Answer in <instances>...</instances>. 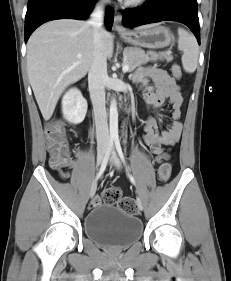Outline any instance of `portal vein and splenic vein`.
Returning a JSON list of instances; mask_svg holds the SVG:
<instances>
[{
    "instance_id": "1",
    "label": "portal vein and splenic vein",
    "mask_w": 231,
    "mask_h": 281,
    "mask_svg": "<svg viewBox=\"0 0 231 281\" xmlns=\"http://www.w3.org/2000/svg\"><path fill=\"white\" fill-rule=\"evenodd\" d=\"M122 70H123L124 73L128 72L129 65L128 64H124Z\"/></svg>"
}]
</instances>
